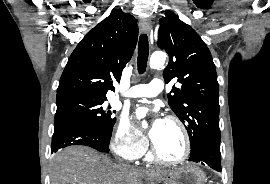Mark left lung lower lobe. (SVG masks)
I'll return each mask as SVG.
<instances>
[{
	"instance_id": "left-lung-lower-lobe-1",
	"label": "left lung lower lobe",
	"mask_w": 270,
	"mask_h": 184,
	"mask_svg": "<svg viewBox=\"0 0 270 184\" xmlns=\"http://www.w3.org/2000/svg\"><path fill=\"white\" fill-rule=\"evenodd\" d=\"M189 161L208 165L221 172L220 141H201L191 152Z\"/></svg>"
}]
</instances>
